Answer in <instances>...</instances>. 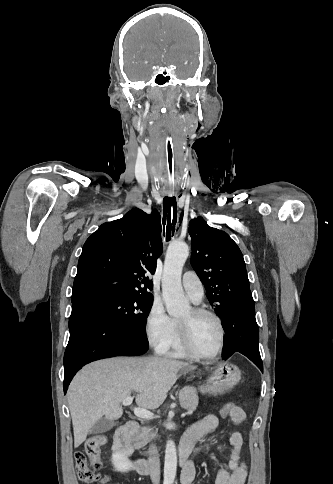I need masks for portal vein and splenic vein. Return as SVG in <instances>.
I'll use <instances>...</instances> for the list:
<instances>
[{
    "instance_id": "1",
    "label": "portal vein and splenic vein",
    "mask_w": 333,
    "mask_h": 484,
    "mask_svg": "<svg viewBox=\"0 0 333 484\" xmlns=\"http://www.w3.org/2000/svg\"><path fill=\"white\" fill-rule=\"evenodd\" d=\"M133 401V398L131 396H127L123 401H122V404L124 406H127V405H130ZM134 414L135 416L139 417V418H143V419H151L153 418L154 414L147 410V409H143V408H140V407H136L134 408ZM191 414L193 412H190ZM186 414H182L181 417H185Z\"/></svg>"
}]
</instances>
